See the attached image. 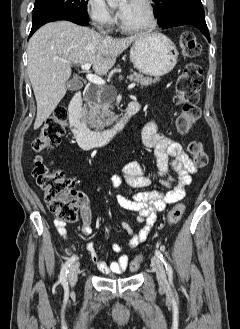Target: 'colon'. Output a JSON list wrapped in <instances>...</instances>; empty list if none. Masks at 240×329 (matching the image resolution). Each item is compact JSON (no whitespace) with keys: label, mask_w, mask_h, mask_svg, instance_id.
Listing matches in <instances>:
<instances>
[{"label":"colon","mask_w":240,"mask_h":329,"mask_svg":"<svg viewBox=\"0 0 240 329\" xmlns=\"http://www.w3.org/2000/svg\"><path fill=\"white\" fill-rule=\"evenodd\" d=\"M182 53L187 58H194L201 53V44L191 32H185L181 36ZM203 82V74L199 66L189 64L179 77L176 84V100L182 106L177 119V127L181 133H187L200 116L198 108L199 91ZM67 128V108L58 105L45 121L41 133L33 141V149L42 152L58 143L65 135ZM188 151L193 163L197 167L207 164V155L203 144L199 141H191ZM38 186L44 193V199L49 210L63 223L75 222L78 219V210L82 198L74 189V181L59 170L49 169L41 157L35 160L33 171ZM185 206L176 204L168 213L171 224L177 223L183 216ZM142 263L141 258L130 262V270L136 271Z\"/></svg>","instance_id":"obj_1"}]
</instances>
